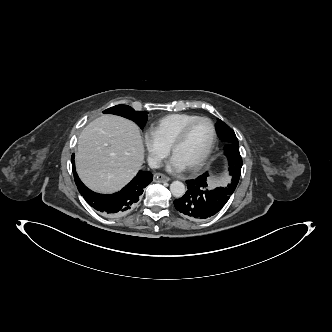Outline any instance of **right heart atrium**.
<instances>
[{"instance_id":"obj_1","label":"right heart atrium","mask_w":332,"mask_h":332,"mask_svg":"<svg viewBox=\"0 0 332 332\" xmlns=\"http://www.w3.org/2000/svg\"><path fill=\"white\" fill-rule=\"evenodd\" d=\"M143 140L148 163L152 167H157L168 154V148L158 140L151 130L145 132Z\"/></svg>"}]
</instances>
